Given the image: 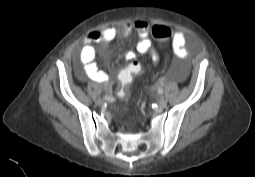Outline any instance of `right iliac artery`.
Listing matches in <instances>:
<instances>
[{
  "label": "right iliac artery",
  "mask_w": 255,
  "mask_h": 177,
  "mask_svg": "<svg viewBox=\"0 0 255 177\" xmlns=\"http://www.w3.org/2000/svg\"><path fill=\"white\" fill-rule=\"evenodd\" d=\"M104 99L109 101V102H113L115 100V98L111 97V96H104Z\"/></svg>",
  "instance_id": "right-iliac-artery-1"
}]
</instances>
